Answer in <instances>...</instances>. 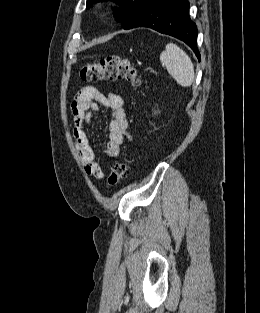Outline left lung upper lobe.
I'll return each instance as SVG.
<instances>
[{"label":"left lung upper lobe","mask_w":260,"mask_h":313,"mask_svg":"<svg viewBox=\"0 0 260 313\" xmlns=\"http://www.w3.org/2000/svg\"><path fill=\"white\" fill-rule=\"evenodd\" d=\"M105 0H87V8L93 2ZM120 4V7L115 9L114 16L120 20L123 29L135 19V17L152 1V0H114Z\"/></svg>","instance_id":"5c2ea615"}]
</instances>
